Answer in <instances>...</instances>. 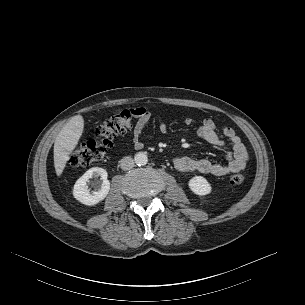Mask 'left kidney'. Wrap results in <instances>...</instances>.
I'll list each match as a JSON object with an SVG mask.
<instances>
[{
	"label": "left kidney",
	"mask_w": 305,
	"mask_h": 305,
	"mask_svg": "<svg viewBox=\"0 0 305 305\" xmlns=\"http://www.w3.org/2000/svg\"><path fill=\"white\" fill-rule=\"evenodd\" d=\"M188 186L194 194L199 196L207 195L212 190L209 182L202 176H195L190 179Z\"/></svg>",
	"instance_id": "left-kidney-1"
}]
</instances>
